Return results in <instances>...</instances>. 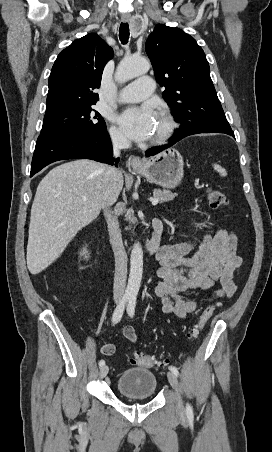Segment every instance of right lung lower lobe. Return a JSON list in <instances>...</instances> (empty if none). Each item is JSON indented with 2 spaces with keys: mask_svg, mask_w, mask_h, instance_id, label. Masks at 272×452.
Wrapping results in <instances>:
<instances>
[{
  "mask_svg": "<svg viewBox=\"0 0 272 452\" xmlns=\"http://www.w3.org/2000/svg\"><path fill=\"white\" fill-rule=\"evenodd\" d=\"M112 155L107 130L96 134L40 135L36 142L30 177L58 160L87 158L117 166L119 159L113 158Z\"/></svg>",
  "mask_w": 272,
  "mask_h": 452,
  "instance_id": "obj_1",
  "label": "right lung lower lobe"
}]
</instances>
